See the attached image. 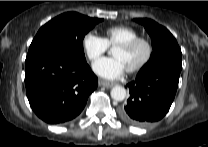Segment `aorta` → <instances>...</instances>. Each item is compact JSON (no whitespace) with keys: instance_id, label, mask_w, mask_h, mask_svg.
Listing matches in <instances>:
<instances>
[{"instance_id":"1","label":"aorta","mask_w":208,"mask_h":147,"mask_svg":"<svg viewBox=\"0 0 208 147\" xmlns=\"http://www.w3.org/2000/svg\"><path fill=\"white\" fill-rule=\"evenodd\" d=\"M111 97L116 101H123L126 97V90L122 86H115L111 90Z\"/></svg>"}]
</instances>
